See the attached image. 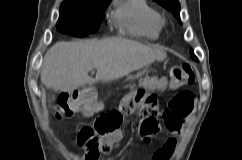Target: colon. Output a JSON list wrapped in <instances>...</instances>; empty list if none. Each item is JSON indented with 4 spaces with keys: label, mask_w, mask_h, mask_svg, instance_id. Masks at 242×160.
I'll use <instances>...</instances> for the list:
<instances>
[{
    "label": "colon",
    "mask_w": 242,
    "mask_h": 160,
    "mask_svg": "<svg viewBox=\"0 0 242 160\" xmlns=\"http://www.w3.org/2000/svg\"><path fill=\"white\" fill-rule=\"evenodd\" d=\"M195 82V72L189 63L171 68L168 77L153 78L145 84L133 89L125 103L126 108L135 107L142 117L141 133L151 135L158 131L157 99L154 90L180 89ZM193 108V96L190 91H181L169 102L164 111L167 127H175L179 119L185 117ZM96 109V97L91 91L61 94L56 101L55 116L58 119H69L79 113ZM122 113L110 110L98 116L91 125L83 126L79 138L84 147L92 149L91 157L95 158V150L101 137L115 131L121 125Z\"/></svg>",
    "instance_id": "colon-1"
}]
</instances>
